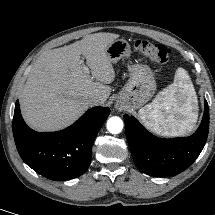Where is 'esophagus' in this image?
Masks as SVG:
<instances>
[{"label":"esophagus","mask_w":215,"mask_h":215,"mask_svg":"<svg viewBox=\"0 0 215 215\" xmlns=\"http://www.w3.org/2000/svg\"><path fill=\"white\" fill-rule=\"evenodd\" d=\"M116 108H117V109H119V106H118V105H116Z\"/></svg>","instance_id":"34e87169"}]
</instances>
